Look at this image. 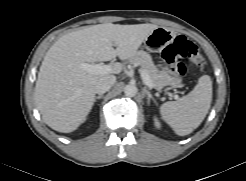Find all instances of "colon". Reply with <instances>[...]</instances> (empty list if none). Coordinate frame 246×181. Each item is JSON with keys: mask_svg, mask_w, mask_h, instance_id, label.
<instances>
[{"mask_svg": "<svg viewBox=\"0 0 246 181\" xmlns=\"http://www.w3.org/2000/svg\"><path fill=\"white\" fill-rule=\"evenodd\" d=\"M183 59H188L196 66H201L204 63L203 56L197 46L186 37L180 35L163 49L161 60L174 75L182 79L187 74V67L182 62Z\"/></svg>", "mask_w": 246, "mask_h": 181, "instance_id": "colon-1", "label": "colon"}]
</instances>
